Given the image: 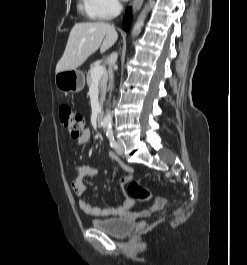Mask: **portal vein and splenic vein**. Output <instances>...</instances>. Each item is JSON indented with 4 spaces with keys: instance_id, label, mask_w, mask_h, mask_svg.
<instances>
[{
    "instance_id": "obj_1",
    "label": "portal vein and splenic vein",
    "mask_w": 247,
    "mask_h": 265,
    "mask_svg": "<svg viewBox=\"0 0 247 265\" xmlns=\"http://www.w3.org/2000/svg\"><path fill=\"white\" fill-rule=\"evenodd\" d=\"M104 73V67L101 65H98L92 69L91 77L93 80L100 79Z\"/></svg>"
}]
</instances>
